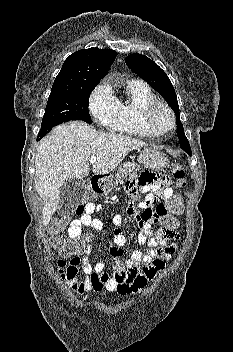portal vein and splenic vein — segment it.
<instances>
[{
  "mask_svg": "<svg viewBox=\"0 0 233 352\" xmlns=\"http://www.w3.org/2000/svg\"><path fill=\"white\" fill-rule=\"evenodd\" d=\"M96 161H97V157H95V156H92V157H90V159H89V162H90L91 164L95 163Z\"/></svg>",
  "mask_w": 233,
  "mask_h": 352,
  "instance_id": "1",
  "label": "portal vein and splenic vein"
}]
</instances>
